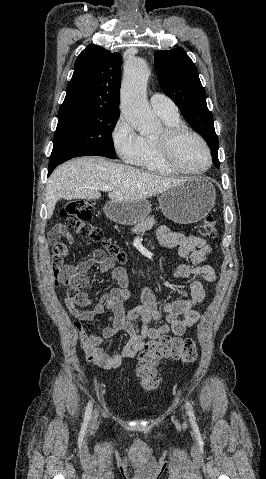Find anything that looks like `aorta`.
<instances>
[{
	"mask_svg": "<svg viewBox=\"0 0 266 479\" xmlns=\"http://www.w3.org/2000/svg\"><path fill=\"white\" fill-rule=\"evenodd\" d=\"M149 75L150 70L143 59H131L125 65L121 86V112L128 123L142 134L153 133L161 125L146 98Z\"/></svg>",
	"mask_w": 266,
	"mask_h": 479,
	"instance_id": "obj_1",
	"label": "aorta"
}]
</instances>
